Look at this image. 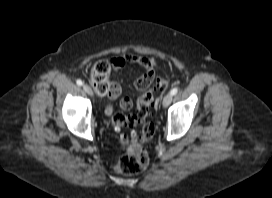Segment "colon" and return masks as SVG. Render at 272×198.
I'll return each instance as SVG.
<instances>
[{"label":"colon","instance_id":"5ec220e1","mask_svg":"<svg viewBox=\"0 0 272 198\" xmlns=\"http://www.w3.org/2000/svg\"><path fill=\"white\" fill-rule=\"evenodd\" d=\"M112 65L108 61H99L90 72L91 85L96 92L104 96L112 92L113 83L109 79ZM151 85H154L155 91H162L167 87L166 81L155 78L140 79L136 83L140 89H148ZM152 104V90H149L138 100L136 108L130 114L117 113L112 118V128L115 131H119L124 126L142 125L140 136L131 138L126 135L119 136V140L125 148V154L115 164V170L120 174L134 175L143 171L148 165L149 157L143 143L150 140L155 132V125L148 118Z\"/></svg>","mask_w":272,"mask_h":198}]
</instances>
